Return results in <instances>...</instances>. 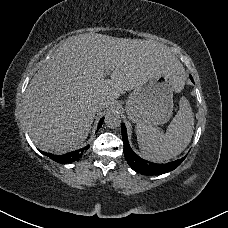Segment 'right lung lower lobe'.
I'll list each match as a JSON object with an SVG mask.
<instances>
[{"label":"right lung lower lobe","instance_id":"98d812e1","mask_svg":"<svg viewBox=\"0 0 228 228\" xmlns=\"http://www.w3.org/2000/svg\"><path fill=\"white\" fill-rule=\"evenodd\" d=\"M104 118H102L98 124V128L97 130L101 127L102 123H103ZM87 149H89V145L81 148L79 150L73 151V152H69L63 155H53V154H49V153H45L42 152L43 154H45L46 156H48L49 158H51L52 160L58 162V163H68V162H72L75 161L79 158H81L82 156H84V154L86 153Z\"/></svg>","mask_w":228,"mask_h":228}]
</instances>
